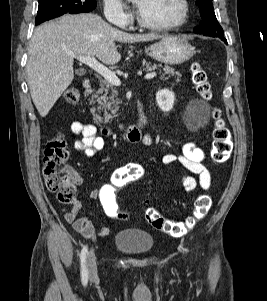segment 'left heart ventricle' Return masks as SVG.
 I'll return each mask as SVG.
<instances>
[{
    "label": "left heart ventricle",
    "instance_id": "b2bd125f",
    "mask_svg": "<svg viewBox=\"0 0 267 301\" xmlns=\"http://www.w3.org/2000/svg\"><path fill=\"white\" fill-rule=\"evenodd\" d=\"M139 15L153 24L177 21L182 13L180 0H137Z\"/></svg>",
    "mask_w": 267,
    "mask_h": 301
}]
</instances>
